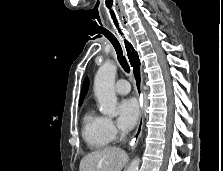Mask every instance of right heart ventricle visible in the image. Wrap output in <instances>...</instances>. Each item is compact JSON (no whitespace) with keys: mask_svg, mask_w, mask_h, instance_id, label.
<instances>
[{"mask_svg":"<svg viewBox=\"0 0 223 171\" xmlns=\"http://www.w3.org/2000/svg\"><path fill=\"white\" fill-rule=\"evenodd\" d=\"M82 136L91 149L104 148L112 141L105 126V117L93 109L87 110L84 114Z\"/></svg>","mask_w":223,"mask_h":171,"instance_id":"1","label":"right heart ventricle"}]
</instances>
